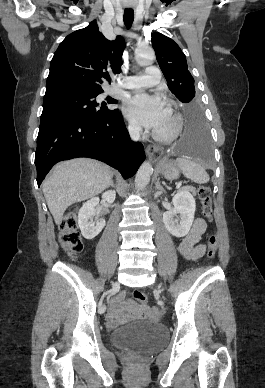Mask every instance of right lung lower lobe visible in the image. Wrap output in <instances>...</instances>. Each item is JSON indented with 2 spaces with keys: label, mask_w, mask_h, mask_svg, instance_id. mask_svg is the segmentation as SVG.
I'll list each match as a JSON object with an SVG mask.
<instances>
[{
  "label": "right lung lower lobe",
  "mask_w": 265,
  "mask_h": 388,
  "mask_svg": "<svg viewBox=\"0 0 265 388\" xmlns=\"http://www.w3.org/2000/svg\"><path fill=\"white\" fill-rule=\"evenodd\" d=\"M75 157L101 160L129 178L145 152L141 143L130 140L119 111L107 118L65 116L41 122L35 153L38 186L54 164Z\"/></svg>",
  "instance_id": "98d812e1"
}]
</instances>
